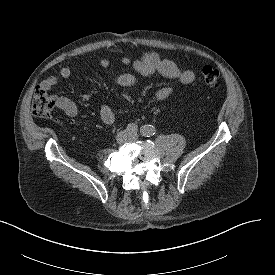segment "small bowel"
<instances>
[{
  "mask_svg": "<svg viewBox=\"0 0 275 275\" xmlns=\"http://www.w3.org/2000/svg\"><path fill=\"white\" fill-rule=\"evenodd\" d=\"M121 63L123 65L131 64L134 72L142 77L159 74L169 79H176L185 85L191 84L195 80V75L191 70L181 69L176 63L162 59L156 53H146L134 61L128 56H123ZM100 66L108 68L110 66V60L108 58H102L100 60ZM71 74L72 70L69 67H63L57 74L48 77L41 85L49 89L58 82L68 79ZM114 82L120 87H131L136 82V76L133 73H120L114 77ZM172 92V87L165 85L157 90L155 96L158 100H164L170 97ZM57 110L63 112L70 118H74L78 114L76 104L66 97L58 98ZM100 118L106 125H111L115 122V114L106 103L100 106Z\"/></svg>",
  "mask_w": 275,
  "mask_h": 275,
  "instance_id": "small-bowel-1",
  "label": "small bowel"
}]
</instances>
